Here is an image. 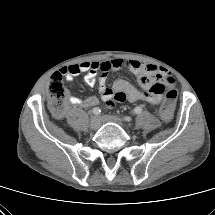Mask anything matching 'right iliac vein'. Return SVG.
<instances>
[{
    "label": "right iliac vein",
    "mask_w": 215,
    "mask_h": 215,
    "mask_svg": "<svg viewBox=\"0 0 215 215\" xmlns=\"http://www.w3.org/2000/svg\"><path fill=\"white\" fill-rule=\"evenodd\" d=\"M99 126H100V119L95 116L92 117L90 121V128L96 130L99 128Z\"/></svg>",
    "instance_id": "right-iliac-vein-1"
}]
</instances>
